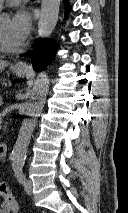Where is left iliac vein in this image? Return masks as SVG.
<instances>
[{
  "label": "left iliac vein",
  "mask_w": 128,
  "mask_h": 213,
  "mask_svg": "<svg viewBox=\"0 0 128 213\" xmlns=\"http://www.w3.org/2000/svg\"><path fill=\"white\" fill-rule=\"evenodd\" d=\"M24 189H25L27 194H29V195L32 194L33 185H32L31 180L25 179V181H24Z\"/></svg>",
  "instance_id": "obj_1"
}]
</instances>
